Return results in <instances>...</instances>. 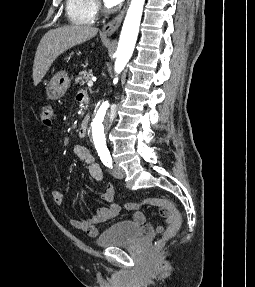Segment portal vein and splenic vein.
<instances>
[{
    "mask_svg": "<svg viewBox=\"0 0 255 287\" xmlns=\"http://www.w3.org/2000/svg\"><path fill=\"white\" fill-rule=\"evenodd\" d=\"M93 82H96V78H95V80H94V78H93V80H89V82H87L88 88H92Z\"/></svg>",
    "mask_w": 255,
    "mask_h": 287,
    "instance_id": "18ae733b",
    "label": "portal vein and splenic vein"
}]
</instances>
